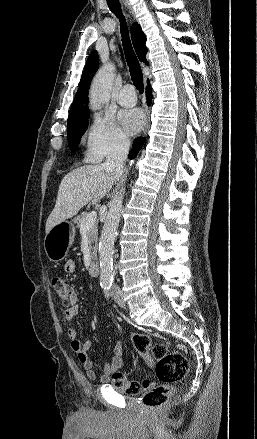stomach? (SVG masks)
Wrapping results in <instances>:
<instances>
[{
	"label": "stomach",
	"instance_id": "stomach-1",
	"mask_svg": "<svg viewBox=\"0 0 257 439\" xmlns=\"http://www.w3.org/2000/svg\"><path fill=\"white\" fill-rule=\"evenodd\" d=\"M75 226L71 221L56 224L45 236L44 250L50 261L63 260L75 238Z\"/></svg>",
	"mask_w": 257,
	"mask_h": 439
}]
</instances>
